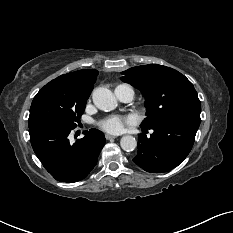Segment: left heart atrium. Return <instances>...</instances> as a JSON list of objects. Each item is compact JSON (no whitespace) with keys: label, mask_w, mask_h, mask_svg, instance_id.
Wrapping results in <instances>:
<instances>
[{"label":"left heart atrium","mask_w":233,"mask_h":233,"mask_svg":"<svg viewBox=\"0 0 233 233\" xmlns=\"http://www.w3.org/2000/svg\"><path fill=\"white\" fill-rule=\"evenodd\" d=\"M135 118L132 116H119L113 115L106 119H104L100 126L103 130L110 132V133H120L125 125H131L135 123Z\"/></svg>","instance_id":"obj_1"}]
</instances>
